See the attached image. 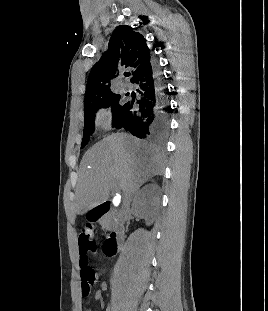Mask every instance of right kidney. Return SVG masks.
Wrapping results in <instances>:
<instances>
[{
  "instance_id": "ca27d5eb",
  "label": "right kidney",
  "mask_w": 268,
  "mask_h": 311,
  "mask_svg": "<svg viewBox=\"0 0 268 311\" xmlns=\"http://www.w3.org/2000/svg\"><path fill=\"white\" fill-rule=\"evenodd\" d=\"M161 190L156 183L143 187L137 192L133 201V214L144 218L146 225H151L158 213L160 206Z\"/></svg>"
}]
</instances>
